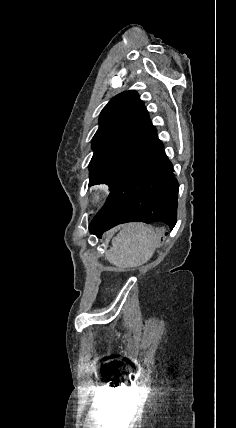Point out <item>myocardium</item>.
I'll use <instances>...</instances> for the list:
<instances>
[{
    "mask_svg": "<svg viewBox=\"0 0 236 428\" xmlns=\"http://www.w3.org/2000/svg\"><path fill=\"white\" fill-rule=\"evenodd\" d=\"M110 191L102 185H95L89 190L88 203L90 206L99 207L103 205L109 198Z\"/></svg>",
    "mask_w": 236,
    "mask_h": 428,
    "instance_id": "1",
    "label": "myocardium"
}]
</instances>
